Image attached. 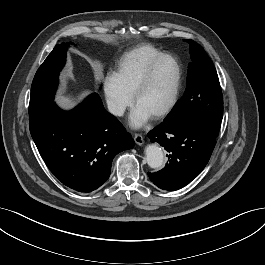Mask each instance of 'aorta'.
I'll return each mask as SVG.
<instances>
[{
    "label": "aorta",
    "instance_id": "762f6f07",
    "mask_svg": "<svg viewBox=\"0 0 265 265\" xmlns=\"http://www.w3.org/2000/svg\"><path fill=\"white\" fill-rule=\"evenodd\" d=\"M145 155L148 165L153 169H159L164 162V155L162 149L155 145H148L145 149Z\"/></svg>",
    "mask_w": 265,
    "mask_h": 265
}]
</instances>
